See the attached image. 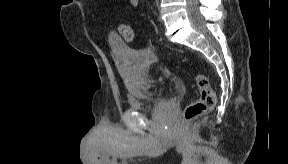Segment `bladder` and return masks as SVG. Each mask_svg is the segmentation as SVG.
<instances>
[{
  "label": "bladder",
  "instance_id": "obj_1",
  "mask_svg": "<svg viewBox=\"0 0 288 164\" xmlns=\"http://www.w3.org/2000/svg\"><path fill=\"white\" fill-rule=\"evenodd\" d=\"M109 43L114 60L129 84V109L148 113L163 105L166 99L145 73L154 61L153 57L147 52L132 49L115 36L110 37Z\"/></svg>",
  "mask_w": 288,
  "mask_h": 164
}]
</instances>
